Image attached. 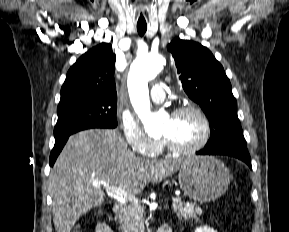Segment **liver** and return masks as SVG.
Returning a JSON list of instances; mask_svg holds the SVG:
<instances>
[{
	"label": "liver",
	"instance_id": "liver-1",
	"mask_svg": "<svg viewBox=\"0 0 289 232\" xmlns=\"http://www.w3.org/2000/svg\"><path fill=\"white\" fill-rule=\"evenodd\" d=\"M184 161L138 157L116 130L90 129L72 135L49 177L56 232H70L82 215L104 202V192L94 182L121 187L134 196L147 184L173 175Z\"/></svg>",
	"mask_w": 289,
	"mask_h": 232
}]
</instances>
